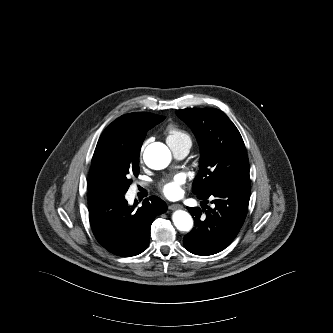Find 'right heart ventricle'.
Here are the masks:
<instances>
[{
	"mask_svg": "<svg viewBox=\"0 0 333 333\" xmlns=\"http://www.w3.org/2000/svg\"><path fill=\"white\" fill-rule=\"evenodd\" d=\"M166 140L170 147L192 144V138L188 132L176 124H169L165 130Z\"/></svg>",
	"mask_w": 333,
	"mask_h": 333,
	"instance_id": "e07e8e85",
	"label": "right heart ventricle"
}]
</instances>
